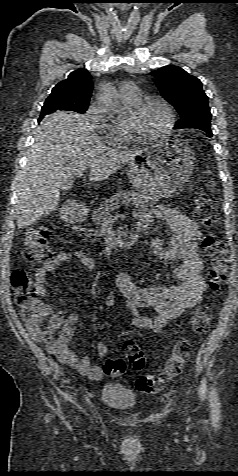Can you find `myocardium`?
Here are the masks:
<instances>
[{"instance_id": "f54148a6", "label": "myocardium", "mask_w": 238, "mask_h": 476, "mask_svg": "<svg viewBox=\"0 0 238 476\" xmlns=\"http://www.w3.org/2000/svg\"><path fill=\"white\" fill-rule=\"evenodd\" d=\"M151 105H159L164 108L167 114V123L164 126V128L161 129L159 132L147 135V134L140 133L133 126H131L129 123L126 122L125 126L128 132L136 141L147 142V141H152V140L162 138L166 136L167 134H169L175 125L176 118H175L173 107L170 105V103H168L166 100L161 98H147L142 101H138L136 104L132 106L131 111L135 114H139Z\"/></svg>"}]
</instances>
